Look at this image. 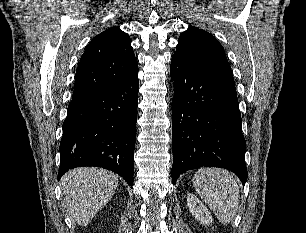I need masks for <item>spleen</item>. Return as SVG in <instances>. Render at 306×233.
I'll return each instance as SVG.
<instances>
[{
  "label": "spleen",
  "mask_w": 306,
  "mask_h": 233,
  "mask_svg": "<svg viewBox=\"0 0 306 233\" xmlns=\"http://www.w3.org/2000/svg\"><path fill=\"white\" fill-rule=\"evenodd\" d=\"M193 186L222 224L234 219L239 205V186L230 172L201 168L194 174Z\"/></svg>",
  "instance_id": "obj_1"
}]
</instances>
